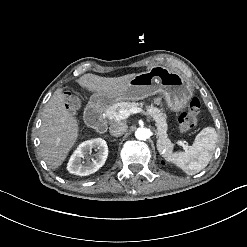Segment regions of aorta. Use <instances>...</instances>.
<instances>
[{
  "instance_id": "obj_1",
  "label": "aorta",
  "mask_w": 247,
  "mask_h": 247,
  "mask_svg": "<svg viewBox=\"0 0 247 247\" xmlns=\"http://www.w3.org/2000/svg\"><path fill=\"white\" fill-rule=\"evenodd\" d=\"M151 136L150 129L140 127L135 131V137L139 140H146Z\"/></svg>"
}]
</instances>
